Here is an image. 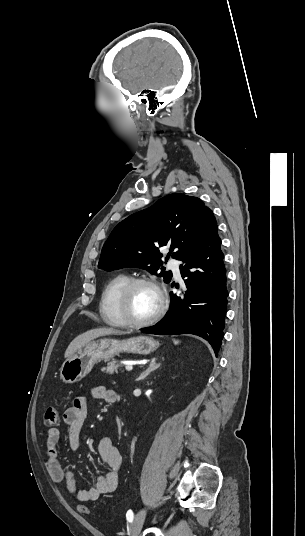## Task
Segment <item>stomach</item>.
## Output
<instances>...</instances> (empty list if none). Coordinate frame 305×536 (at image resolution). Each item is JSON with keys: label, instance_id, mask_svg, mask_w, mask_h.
Returning a JSON list of instances; mask_svg holds the SVG:
<instances>
[{"label": "stomach", "instance_id": "stomach-1", "mask_svg": "<svg viewBox=\"0 0 305 536\" xmlns=\"http://www.w3.org/2000/svg\"><path fill=\"white\" fill-rule=\"evenodd\" d=\"M158 346L159 342L148 336L129 338V340H109V338L91 340L63 362L60 368V378L66 384H74L85 378L99 360H109V358L119 356L121 352L146 356L154 352Z\"/></svg>", "mask_w": 305, "mask_h": 536}]
</instances>
